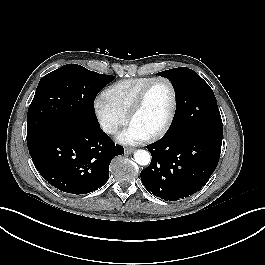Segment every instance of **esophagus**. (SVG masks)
<instances>
[{"label": "esophagus", "instance_id": "1", "mask_svg": "<svg viewBox=\"0 0 265 265\" xmlns=\"http://www.w3.org/2000/svg\"><path fill=\"white\" fill-rule=\"evenodd\" d=\"M134 150H135L134 148H126L125 153L130 154V153H133Z\"/></svg>", "mask_w": 265, "mask_h": 265}]
</instances>
